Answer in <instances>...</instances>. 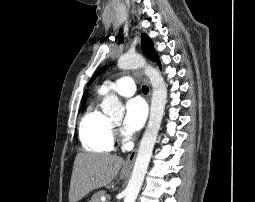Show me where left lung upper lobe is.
<instances>
[{
  "label": "left lung upper lobe",
  "mask_w": 255,
  "mask_h": 202,
  "mask_svg": "<svg viewBox=\"0 0 255 202\" xmlns=\"http://www.w3.org/2000/svg\"><path fill=\"white\" fill-rule=\"evenodd\" d=\"M141 47H142V51L143 53L148 57L150 58L151 60L153 61H156L158 64L159 63V60H158V57H157V54L154 50V47H153V43L152 41L150 40V38L146 35V34H143L141 36ZM106 67H103L101 68L96 74L95 76L90 80L89 84L93 81V79L99 75Z\"/></svg>",
  "instance_id": "obj_1"
}]
</instances>
